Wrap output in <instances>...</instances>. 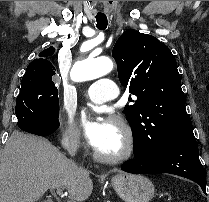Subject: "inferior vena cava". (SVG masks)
Returning a JSON list of instances; mask_svg holds the SVG:
<instances>
[{
    "label": "inferior vena cava",
    "mask_w": 209,
    "mask_h": 202,
    "mask_svg": "<svg viewBox=\"0 0 209 202\" xmlns=\"http://www.w3.org/2000/svg\"><path fill=\"white\" fill-rule=\"evenodd\" d=\"M71 155H72V156H74V155H75V152H74V151H72V152H71Z\"/></svg>",
    "instance_id": "inferior-vena-cava-1"
}]
</instances>
